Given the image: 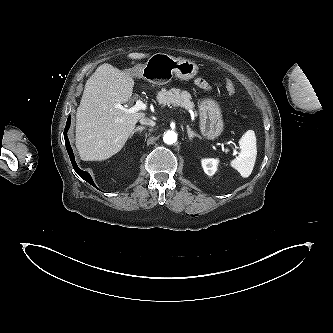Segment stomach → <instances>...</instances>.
Masks as SVG:
<instances>
[{"label":"stomach","instance_id":"obj_1","mask_svg":"<svg viewBox=\"0 0 333 333\" xmlns=\"http://www.w3.org/2000/svg\"><path fill=\"white\" fill-rule=\"evenodd\" d=\"M198 66L187 59L175 58L168 54L156 53L145 64H137L131 72L155 85L170 82L173 76L181 80H190L198 73ZM200 130L208 140L217 139L224 130V122L219 104L212 98H203L199 102Z\"/></svg>","mask_w":333,"mask_h":333}]
</instances>
